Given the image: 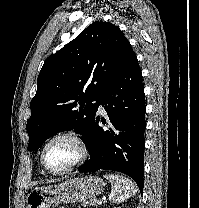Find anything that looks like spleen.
<instances>
[{
	"instance_id": "3e777b00",
	"label": "spleen",
	"mask_w": 199,
	"mask_h": 208,
	"mask_svg": "<svg viewBox=\"0 0 199 208\" xmlns=\"http://www.w3.org/2000/svg\"><path fill=\"white\" fill-rule=\"evenodd\" d=\"M104 177L112 185L111 197L114 203H122L137 192L135 184L130 179L114 174H107Z\"/></svg>"
}]
</instances>
